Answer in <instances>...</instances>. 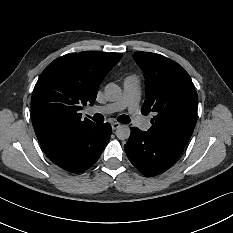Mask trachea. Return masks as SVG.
Here are the masks:
<instances>
[{
	"label": "trachea",
	"mask_w": 233,
	"mask_h": 233,
	"mask_svg": "<svg viewBox=\"0 0 233 233\" xmlns=\"http://www.w3.org/2000/svg\"><path fill=\"white\" fill-rule=\"evenodd\" d=\"M92 119L95 122H104V117L102 114H95ZM117 120L123 124H128L131 122V119L127 115H121L117 118Z\"/></svg>",
	"instance_id": "obj_1"
}]
</instances>
